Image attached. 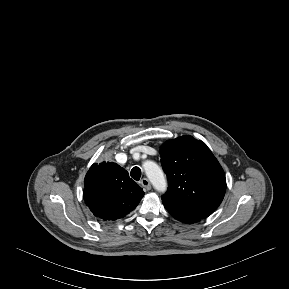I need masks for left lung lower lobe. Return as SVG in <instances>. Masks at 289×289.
<instances>
[{"label":"left lung lower lobe","mask_w":289,"mask_h":289,"mask_svg":"<svg viewBox=\"0 0 289 289\" xmlns=\"http://www.w3.org/2000/svg\"><path fill=\"white\" fill-rule=\"evenodd\" d=\"M171 216H173L175 219L184 222V223H195L200 221L202 218H198V217H194V216H189V215H185V214H181V213H177V212H172L169 211Z\"/></svg>","instance_id":"1"}]
</instances>
